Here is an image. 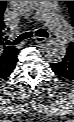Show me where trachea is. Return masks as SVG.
Returning <instances> with one entry per match:
<instances>
[{
	"mask_svg": "<svg viewBox=\"0 0 74 122\" xmlns=\"http://www.w3.org/2000/svg\"><path fill=\"white\" fill-rule=\"evenodd\" d=\"M35 35L39 36V37H48L49 36L48 32L44 29H38L35 32ZM32 36H33V34L31 32H25V33L21 34L18 38H16L14 41H12V42L7 41L6 44L7 45H16L25 39L31 38Z\"/></svg>",
	"mask_w": 74,
	"mask_h": 122,
	"instance_id": "trachea-1",
	"label": "trachea"
}]
</instances>
